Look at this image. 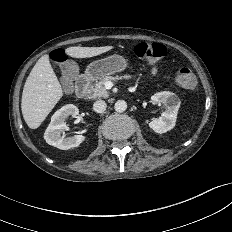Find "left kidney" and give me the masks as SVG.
<instances>
[{
	"instance_id": "obj_1",
	"label": "left kidney",
	"mask_w": 232,
	"mask_h": 232,
	"mask_svg": "<svg viewBox=\"0 0 232 232\" xmlns=\"http://www.w3.org/2000/svg\"><path fill=\"white\" fill-rule=\"evenodd\" d=\"M151 100L157 104H163L166 110L161 114V117L152 120L149 127L156 133H165L173 129L181 103L178 96L172 92L163 91L151 96Z\"/></svg>"
}]
</instances>
